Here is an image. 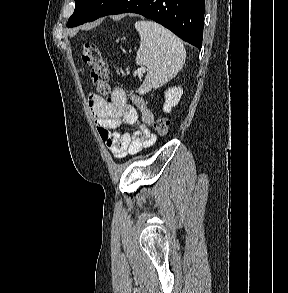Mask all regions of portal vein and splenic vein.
I'll return each mask as SVG.
<instances>
[{
	"mask_svg": "<svg viewBox=\"0 0 288 293\" xmlns=\"http://www.w3.org/2000/svg\"><path fill=\"white\" fill-rule=\"evenodd\" d=\"M145 71V69H143V68H139V69H137V73L138 74H141V72H144Z\"/></svg>",
	"mask_w": 288,
	"mask_h": 293,
	"instance_id": "18ae733b",
	"label": "portal vein and splenic vein"
}]
</instances>
